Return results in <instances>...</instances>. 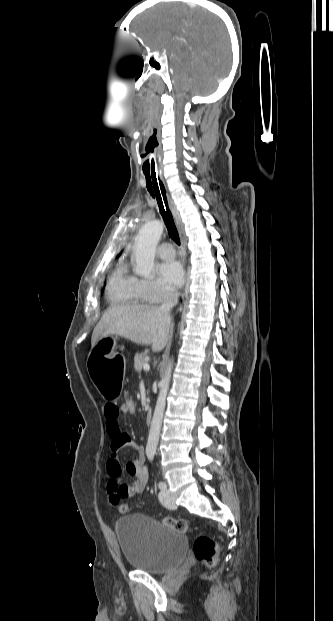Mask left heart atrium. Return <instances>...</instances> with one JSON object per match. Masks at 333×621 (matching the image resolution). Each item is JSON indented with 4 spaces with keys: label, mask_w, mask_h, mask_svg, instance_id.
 Here are the masks:
<instances>
[{
    "label": "left heart atrium",
    "mask_w": 333,
    "mask_h": 621,
    "mask_svg": "<svg viewBox=\"0 0 333 621\" xmlns=\"http://www.w3.org/2000/svg\"><path fill=\"white\" fill-rule=\"evenodd\" d=\"M161 282L173 289L179 287L184 281V270L177 261H167L158 267Z\"/></svg>",
    "instance_id": "39dd6f15"
}]
</instances>
